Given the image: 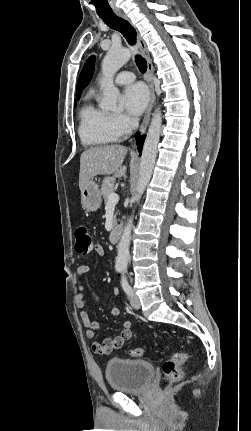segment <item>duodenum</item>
<instances>
[{
	"mask_svg": "<svg viewBox=\"0 0 251 431\" xmlns=\"http://www.w3.org/2000/svg\"><path fill=\"white\" fill-rule=\"evenodd\" d=\"M121 234H122V226L120 224H116L111 231L110 241L112 243H117L121 237Z\"/></svg>",
	"mask_w": 251,
	"mask_h": 431,
	"instance_id": "duodenum-1",
	"label": "duodenum"
}]
</instances>
